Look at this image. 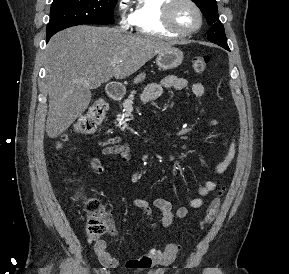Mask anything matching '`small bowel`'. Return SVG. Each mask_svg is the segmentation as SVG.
Returning a JSON list of instances; mask_svg holds the SVG:
<instances>
[{"label":"small bowel","mask_w":289,"mask_h":274,"mask_svg":"<svg viewBox=\"0 0 289 274\" xmlns=\"http://www.w3.org/2000/svg\"><path fill=\"white\" fill-rule=\"evenodd\" d=\"M187 87L188 81L185 78L169 75L163 78L159 83H151L147 85L141 97L144 102L152 101L157 99L162 94L164 89L184 90ZM191 91L196 96H203L206 92V89L202 83L196 82L192 84ZM208 122L213 127L218 126V121L214 118H210ZM118 141V137L105 141L103 143L105 146L102 148V154L116 155L122 161H128L131 156L130 149L127 145H116L115 143ZM222 146V158L214 169V173L216 175H221L226 172L232 163L236 153V139L232 138L229 142L223 139ZM90 164L94 172L98 174H103L108 170L107 166L103 165L98 158H92ZM216 187V180H206L203 185L197 189L196 197L188 201L187 206L178 207L176 209L173 208L169 201L163 198H156L151 203H149L140 197H136L133 203L137 209L146 213L148 216L152 215L153 208L158 209L161 213L160 224L162 227L166 228L169 227L175 219L185 218L190 208H201L204 204V197L214 191ZM115 234L116 230L112 233V235ZM94 251L103 267L111 269L116 268L119 265V261L109 253L106 241L97 240L94 244Z\"/></svg>","instance_id":"obj_1"}]
</instances>
